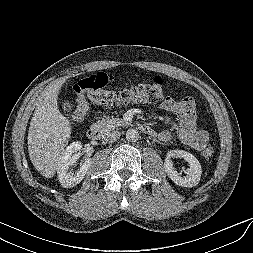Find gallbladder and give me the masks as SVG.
Masks as SVG:
<instances>
[{
	"mask_svg": "<svg viewBox=\"0 0 253 253\" xmlns=\"http://www.w3.org/2000/svg\"><path fill=\"white\" fill-rule=\"evenodd\" d=\"M61 106L64 112H69L73 108V104L68 100H63Z\"/></svg>",
	"mask_w": 253,
	"mask_h": 253,
	"instance_id": "1",
	"label": "gallbladder"
}]
</instances>
